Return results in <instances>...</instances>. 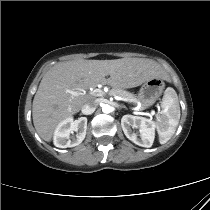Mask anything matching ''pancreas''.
<instances>
[{"label": "pancreas", "mask_w": 210, "mask_h": 210, "mask_svg": "<svg viewBox=\"0 0 210 210\" xmlns=\"http://www.w3.org/2000/svg\"><path fill=\"white\" fill-rule=\"evenodd\" d=\"M109 95L111 96H119L121 98H123L124 100L126 101H132L135 96L134 94L128 92V91H125V90H122V89H116V88H113L109 91Z\"/></svg>", "instance_id": "1"}]
</instances>
